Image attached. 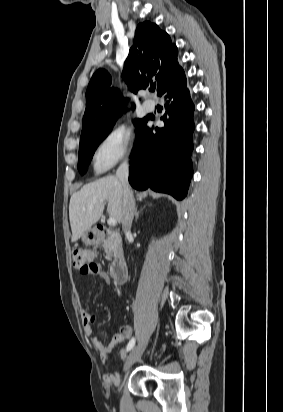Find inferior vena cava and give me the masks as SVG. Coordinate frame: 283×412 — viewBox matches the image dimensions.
Listing matches in <instances>:
<instances>
[{
	"label": "inferior vena cava",
	"instance_id": "obj_1",
	"mask_svg": "<svg viewBox=\"0 0 283 412\" xmlns=\"http://www.w3.org/2000/svg\"><path fill=\"white\" fill-rule=\"evenodd\" d=\"M129 176V161L125 159L116 171V177L119 179L122 189V229L129 232L132 226V221L135 214V202L132 191L128 182Z\"/></svg>",
	"mask_w": 283,
	"mask_h": 412
}]
</instances>
